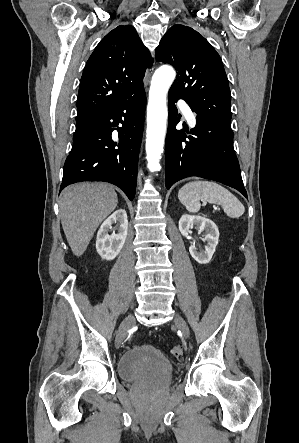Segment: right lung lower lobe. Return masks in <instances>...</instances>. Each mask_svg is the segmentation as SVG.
Instances as JSON below:
<instances>
[{
	"label": "right lung lower lobe",
	"instance_id": "1",
	"mask_svg": "<svg viewBox=\"0 0 299 443\" xmlns=\"http://www.w3.org/2000/svg\"><path fill=\"white\" fill-rule=\"evenodd\" d=\"M145 105L143 88L99 113L85 133L74 141L64 164L61 189L81 181H104L118 186L133 200ZM118 124L122 127H117ZM115 129L117 139L112 138Z\"/></svg>",
	"mask_w": 299,
	"mask_h": 443
}]
</instances>
